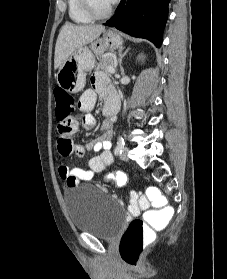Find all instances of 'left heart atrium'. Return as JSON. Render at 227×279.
Segmentation results:
<instances>
[{
  "mask_svg": "<svg viewBox=\"0 0 227 279\" xmlns=\"http://www.w3.org/2000/svg\"><path fill=\"white\" fill-rule=\"evenodd\" d=\"M111 3L114 2L115 0H109Z\"/></svg>",
  "mask_w": 227,
  "mask_h": 279,
  "instance_id": "39dd6f15",
  "label": "left heart atrium"
}]
</instances>
